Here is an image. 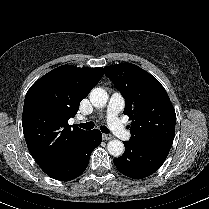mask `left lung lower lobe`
<instances>
[{
    "label": "left lung lower lobe",
    "instance_id": "0a47b994",
    "mask_svg": "<svg viewBox=\"0 0 209 209\" xmlns=\"http://www.w3.org/2000/svg\"><path fill=\"white\" fill-rule=\"evenodd\" d=\"M125 153L114 159L116 168L133 179L145 178L156 172L164 163L169 151L143 146L135 141H124Z\"/></svg>",
    "mask_w": 209,
    "mask_h": 209
}]
</instances>
